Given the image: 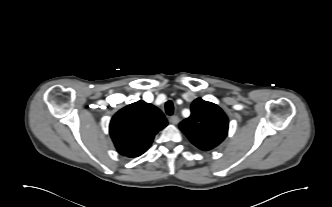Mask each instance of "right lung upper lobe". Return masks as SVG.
<instances>
[{"instance_id": "obj_1", "label": "right lung upper lobe", "mask_w": 332, "mask_h": 207, "mask_svg": "<svg viewBox=\"0 0 332 207\" xmlns=\"http://www.w3.org/2000/svg\"><path fill=\"white\" fill-rule=\"evenodd\" d=\"M166 126L167 120L157 107L139 100L113 116L109 132L117 151L131 158L147 151L156 133Z\"/></svg>"}]
</instances>
